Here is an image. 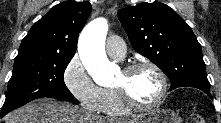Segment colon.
Instances as JSON below:
<instances>
[{"label":"colon","mask_w":221,"mask_h":123,"mask_svg":"<svg viewBox=\"0 0 221 123\" xmlns=\"http://www.w3.org/2000/svg\"><path fill=\"white\" fill-rule=\"evenodd\" d=\"M187 123H205V120L199 114H190L187 118Z\"/></svg>","instance_id":"5ec220e1"}]
</instances>
